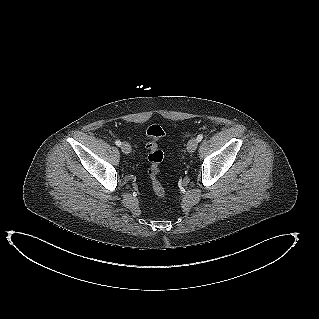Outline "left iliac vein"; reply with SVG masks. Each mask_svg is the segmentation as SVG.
Here are the masks:
<instances>
[{"instance_id":"left-iliac-vein-1","label":"left iliac vein","mask_w":319,"mask_h":319,"mask_svg":"<svg viewBox=\"0 0 319 319\" xmlns=\"http://www.w3.org/2000/svg\"><path fill=\"white\" fill-rule=\"evenodd\" d=\"M198 146V141L195 138H192L191 140H189L188 144H187V150L188 152L192 153L197 149Z\"/></svg>"}]
</instances>
